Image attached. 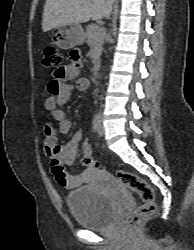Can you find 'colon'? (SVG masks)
I'll return each instance as SVG.
<instances>
[{
	"instance_id": "obj_1",
	"label": "colon",
	"mask_w": 194,
	"mask_h": 250,
	"mask_svg": "<svg viewBox=\"0 0 194 250\" xmlns=\"http://www.w3.org/2000/svg\"><path fill=\"white\" fill-rule=\"evenodd\" d=\"M71 58L73 61H78V54L73 53L71 55ZM61 63L62 58L56 47L47 46L43 50L42 65L44 67L59 68L61 66ZM90 151L91 148L89 143L84 142L82 144V164L92 170H98L100 168V163L90 155ZM116 176L122 185L136 192L141 198V204L127 218V224L133 225L146 217L152 216L156 211V204L155 191L151 187V185L140 176L125 170H117Z\"/></svg>"
}]
</instances>
